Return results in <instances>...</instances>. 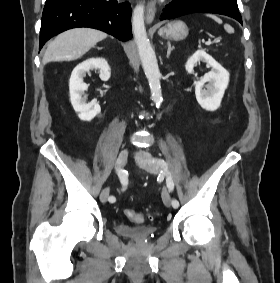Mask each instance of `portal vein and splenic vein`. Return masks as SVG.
Instances as JSON below:
<instances>
[{"label": "portal vein and splenic vein", "mask_w": 280, "mask_h": 283, "mask_svg": "<svg viewBox=\"0 0 280 283\" xmlns=\"http://www.w3.org/2000/svg\"><path fill=\"white\" fill-rule=\"evenodd\" d=\"M206 45H211L212 41L209 39L208 41L205 42Z\"/></svg>", "instance_id": "1"}]
</instances>
